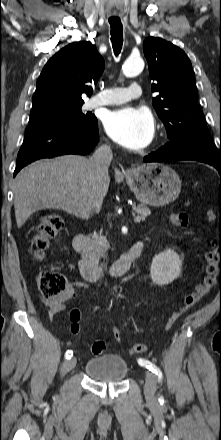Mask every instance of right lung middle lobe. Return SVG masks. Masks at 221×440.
Instances as JSON below:
<instances>
[{
    "instance_id": "dd1d6c3e",
    "label": "right lung middle lobe",
    "mask_w": 221,
    "mask_h": 440,
    "mask_svg": "<svg viewBox=\"0 0 221 440\" xmlns=\"http://www.w3.org/2000/svg\"><path fill=\"white\" fill-rule=\"evenodd\" d=\"M82 104H53L31 110L29 125L40 122H59L70 126H90L96 122L95 116L84 115Z\"/></svg>"
}]
</instances>
